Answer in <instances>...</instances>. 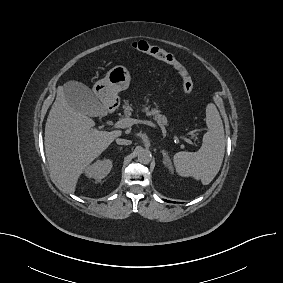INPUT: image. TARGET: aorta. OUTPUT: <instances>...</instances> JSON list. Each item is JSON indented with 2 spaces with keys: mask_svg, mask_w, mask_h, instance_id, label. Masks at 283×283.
<instances>
[{
  "mask_svg": "<svg viewBox=\"0 0 283 283\" xmlns=\"http://www.w3.org/2000/svg\"><path fill=\"white\" fill-rule=\"evenodd\" d=\"M152 155L148 149H142L138 153V161L143 164H147L151 161Z\"/></svg>",
  "mask_w": 283,
  "mask_h": 283,
  "instance_id": "obj_1",
  "label": "aorta"
}]
</instances>
